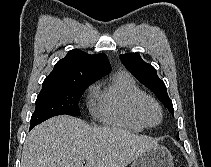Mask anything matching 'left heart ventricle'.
<instances>
[{"instance_id": "left-heart-ventricle-1", "label": "left heart ventricle", "mask_w": 211, "mask_h": 167, "mask_svg": "<svg viewBox=\"0 0 211 167\" xmlns=\"http://www.w3.org/2000/svg\"><path fill=\"white\" fill-rule=\"evenodd\" d=\"M143 113L148 122L154 124L159 121L160 115L158 109L152 103L148 102L145 104Z\"/></svg>"}]
</instances>
